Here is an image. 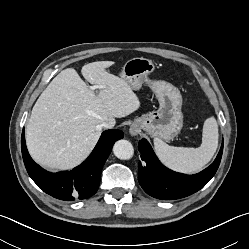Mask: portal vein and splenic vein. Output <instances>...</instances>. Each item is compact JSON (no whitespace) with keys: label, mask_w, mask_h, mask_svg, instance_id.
I'll use <instances>...</instances> for the list:
<instances>
[{"label":"portal vein and splenic vein","mask_w":249,"mask_h":249,"mask_svg":"<svg viewBox=\"0 0 249 249\" xmlns=\"http://www.w3.org/2000/svg\"><path fill=\"white\" fill-rule=\"evenodd\" d=\"M96 88H102L101 86H92L91 89L94 90Z\"/></svg>","instance_id":"1"}]
</instances>
